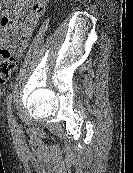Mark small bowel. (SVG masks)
Returning <instances> with one entry per match:
<instances>
[{
  "label": "small bowel",
  "instance_id": "small-bowel-1",
  "mask_svg": "<svg viewBox=\"0 0 133 173\" xmlns=\"http://www.w3.org/2000/svg\"><path fill=\"white\" fill-rule=\"evenodd\" d=\"M0 0V46H12L17 55L25 50L28 40L45 11L48 0ZM22 19L21 22H18Z\"/></svg>",
  "mask_w": 133,
  "mask_h": 173
}]
</instances>
